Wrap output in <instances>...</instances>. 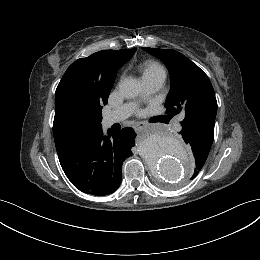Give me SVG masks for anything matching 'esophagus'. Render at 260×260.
<instances>
[{
	"instance_id": "obj_1",
	"label": "esophagus",
	"mask_w": 260,
	"mask_h": 260,
	"mask_svg": "<svg viewBox=\"0 0 260 260\" xmlns=\"http://www.w3.org/2000/svg\"><path fill=\"white\" fill-rule=\"evenodd\" d=\"M147 126H148V123H147V122H137V123L135 124L136 130L143 129V128L147 127Z\"/></svg>"
}]
</instances>
